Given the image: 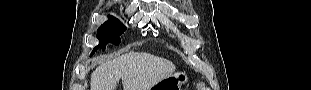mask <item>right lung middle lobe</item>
<instances>
[{
    "mask_svg": "<svg viewBox=\"0 0 311 90\" xmlns=\"http://www.w3.org/2000/svg\"><path fill=\"white\" fill-rule=\"evenodd\" d=\"M108 18L109 20L98 28L97 38L99 39L100 43L93 49L91 55H93L98 48H105L108 42H111L115 45H118L121 42L119 36L124 33L126 27L122 25L115 17L109 16Z\"/></svg>",
    "mask_w": 311,
    "mask_h": 90,
    "instance_id": "1",
    "label": "right lung middle lobe"
}]
</instances>
